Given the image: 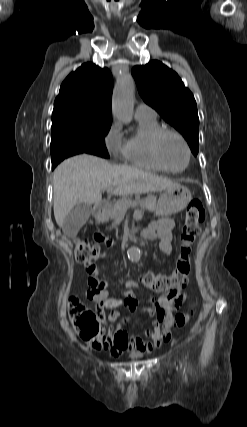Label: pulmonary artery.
<instances>
[{
	"label": "pulmonary artery",
	"mask_w": 247,
	"mask_h": 427,
	"mask_svg": "<svg viewBox=\"0 0 247 427\" xmlns=\"http://www.w3.org/2000/svg\"><path fill=\"white\" fill-rule=\"evenodd\" d=\"M135 116L138 117H155L156 112L153 108L145 103H140L137 105L135 110Z\"/></svg>",
	"instance_id": "1"
}]
</instances>
